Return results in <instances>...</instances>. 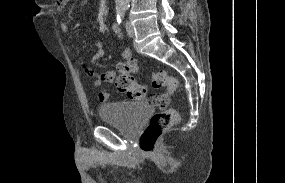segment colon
<instances>
[{"instance_id":"colon-1","label":"colon","mask_w":285,"mask_h":183,"mask_svg":"<svg viewBox=\"0 0 285 183\" xmlns=\"http://www.w3.org/2000/svg\"><path fill=\"white\" fill-rule=\"evenodd\" d=\"M59 1L65 2L66 0ZM116 69L119 75L115 80V85L119 92L133 100L144 99L147 97L146 87L138 84L133 77V74L142 69V66L134 58L118 63ZM86 71L90 74L88 69H86ZM150 75L153 87H165L167 89V93L163 95H150L147 97V100L150 103L157 104L160 107L165 108L168 103L169 95L172 94L177 87V82L164 70H151ZM180 120L181 116L175 109H164L153 115L148 126L141 134L139 140L141 150L147 154L154 153L157 142L162 134L174 125L178 124Z\"/></svg>"}]
</instances>
